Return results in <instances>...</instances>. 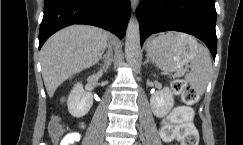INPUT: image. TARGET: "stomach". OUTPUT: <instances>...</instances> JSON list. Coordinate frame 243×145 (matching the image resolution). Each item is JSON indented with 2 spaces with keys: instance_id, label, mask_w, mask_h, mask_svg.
Returning <instances> with one entry per match:
<instances>
[{
  "instance_id": "1",
  "label": "stomach",
  "mask_w": 243,
  "mask_h": 145,
  "mask_svg": "<svg viewBox=\"0 0 243 145\" xmlns=\"http://www.w3.org/2000/svg\"><path fill=\"white\" fill-rule=\"evenodd\" d=\"M147 56L162 70H181L198 52L197 42L189 35L168 32L148 41Z\"/></svg>"
}]
</instances>
